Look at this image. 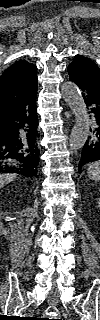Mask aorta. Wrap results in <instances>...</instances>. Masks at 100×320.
<instances>
[{"mask_svg":"<svg viewBox=\"0 0 100 320\" xmlns=\"http://www.w3.org/2000/svg\"><path fill=\"white\" fill-rule=\"evenodd\" d=\"M61 93L75 116L69 146L72 150H78L84 146L89 135V115L82 94L76 84L69 81L64 82L61 86Z\"/></svg>","mask_w":100,"mask_h":320,"instance_id":"762f6f07","label":"aorta"}]
</instances>
